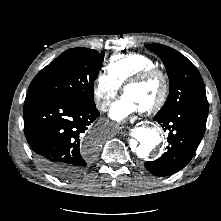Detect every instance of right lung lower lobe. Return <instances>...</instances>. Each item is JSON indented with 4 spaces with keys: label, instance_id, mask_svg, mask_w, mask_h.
Listing matches in <instances>:
<instances>
[{
    "label": "right lung lower lobe",
    "instance_id": "1",
    "mask_svg": "<svg viewBox=\"0 0 221 221\" xmlns=\"http://www.w3.org/2000/svg\"><path fill=\"white\" fill-rule=\"evenodd\" d=\"M23 116L26 139L46 171L69 180L86 170L95 144L85 147L81 138L99 116L96 107L33 90L26 96Z\"/></svg>",
    "mask_w": 221,
    "mask_h": 221
}]
</instances>
